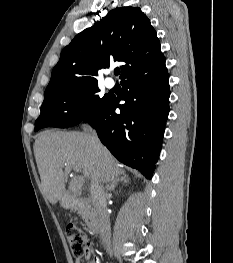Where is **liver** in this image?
<instances>
[{
  "instance_id": "1",
  "label": "liver",
  "mask_w": 233,
  "mask_h": 263,
  "mask_svg": "<svg viewBox=\"0 0 233 263\" xmlns=\"http://www.w3.org/2000/svg\"><path fill=\"white\" fill-rule=\"evenodd\" d=\"M34 154L42 194L51 204L64 196L68 175L74 167L91 182L113 184L124 174L107 148L101 143L97 148L88 133L42 132L35 140Z\"/></svg>"
}]
</instances>
